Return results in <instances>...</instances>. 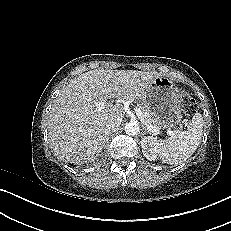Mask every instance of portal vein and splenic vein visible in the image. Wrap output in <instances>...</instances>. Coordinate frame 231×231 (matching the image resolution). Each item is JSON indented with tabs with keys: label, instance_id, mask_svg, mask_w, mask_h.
Wrapping results in <instances>:
<instances>
[{
	"label": "portal vein and splenic vein",
	"instance_id": "18ae733b",
	"mask_svg": "<svg viewBox=\"0 0 231 231\" xmlns=\"http://www.w3.org/2000/svg\"><path fill=\"white\" fill-rule=\"evenodd\" d=\"M94 104H95L96 109L100 112L107 107V104L105 101L95 102ZM135 111H136V114H137L138 118L140 119L141 123L144 124L149 131H151V132H158L159 131L158 126L147 125L144 123V114L142 113L141 109L136 108ZM164 128H166L167 134H169V135L176 134V132L173 131L170 127L165 126Z\"/></svg>",
	"mask_w": 231,
	"mask_h": 231
}]
</instances>
